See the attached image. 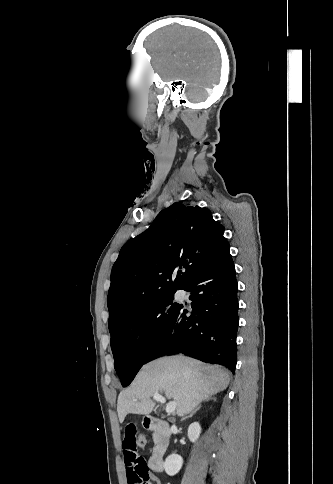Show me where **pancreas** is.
I'll use <instances>...</instances> for the list:
<instances>
[{"mask_svg":"<svg viewBox=\"0 0 333 484\" xmlns=\"http://www.w3.org/2000/svg\"><path fill=\"white\" fill-rule=\"evenodd\" d=\"M153 440L157 443L160 440V434L158 432L153 433Z\"/></svg>","mask_w":333,"mask_h":484,"instance_id":"pancreas-1","label":"pancreas"}]
</instances>
